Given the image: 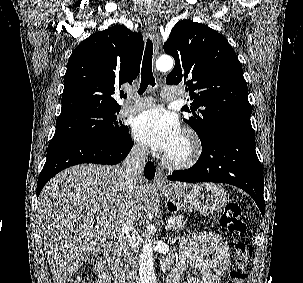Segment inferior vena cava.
Segmentation results:
<instances>
[{
  "mask_svg": "<svg viewBox=\"0 0 303 283\" xmlns=\"http://www.w3.org/2000/svg\"><path fill=\"white\" fill-rule=\"evenodd\" d=\"M147 155L148 150L146 147L139 145L134 146L126 159L122 162L120 168L124 171V184L129 195L133 190L135 180L143 175ZM129 208L128 205L126 207V212ZM132 235L133 223L125 218L119 232V242L124 252L126 283H140L136 248L129 243Z\"/></svg>",
  "mask_w": 303,
  "mask_h": 283,
  "instance_id": "inferior-vena-cava-1",
  "label": "inferior vena cava"
}]
</instances>
